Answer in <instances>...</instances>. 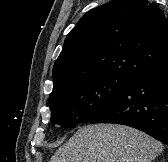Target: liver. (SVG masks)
Listing matches in <instances>:
<instances>
[{"mask_svg":"<svg viewBox=\"0 0 168 162\" xmlns=\"http://www.w3.org/2000/svg\"><path fill=\"white\" fill-rule=\"evenodd\" d=\"M163 145L137 129L118 124H94L79 129L50 162H151Z\"/></svg>","mask_w":168,"mask_h":162,"instance_id":"1","label":"liver"}]
</instances>
